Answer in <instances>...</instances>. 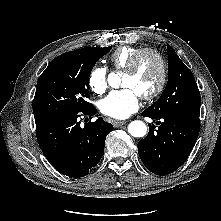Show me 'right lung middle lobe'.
Returning a JSON list of instances; mask_svg holds the SVG:
<instances>
[{
  "instance_id": "dd1d6c3e",
  "label": "right lung middle lobe",
  "mask_w": 221,
  "mask_h": 221,
  "mask_svg": "<svg viewBox=\"0 0 221 221\" xmlns=\"http://www.w3.org/2000/svg\"><path fill=\"white\" fill-rule=\"evenodd\" d=\"M110 50L111 47L82 48L53 59L37 82L33 100L35 121L91 110L93 105L87 102L89 76L99 58Z\"/></svg>"
}]
</instances>
